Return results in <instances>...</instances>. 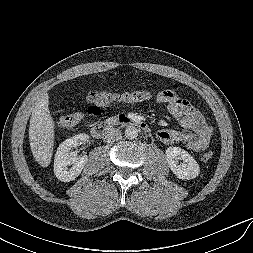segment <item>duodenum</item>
<instances>
[{"instance_id":"duodenum-1","label":"duodenum","mask_w":253,"mask_h":253,"mask_svg":"<svg viewBox=\"0 0 253 253\" xmlns=\"http://www.w3.org/2000/svg\"><path fill=\"white\" fill-rule=\"evenodd\" d=\"M114 125L135 127L147 133L151 131L149 125L146 122L139 119L128 118L125 115H119L111 120L102 121L95 124L91 128V135L97 139L103 138L108 134L111 127Z\"/></svg>"}]
</instances>
